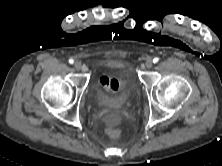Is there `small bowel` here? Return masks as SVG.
I'll return each mask as SVG.
<instances>
[{"label": "small bowel", "mask_w": 222, "mask_h": 166, "mask_svg": "<svg viewBox=\"0 0 222 166\" xmlns=\"http://www.w3.org/2000/svg\"><path fill=\"white\" fill-rule=\"evenodd\" d=\"M99 83L104 90L113 94H116L122 87V83L119 79L109 78L107 76H102L99 79Z\"/></svg>", "instance_id": "small-bowel-1"}]
</instances>
